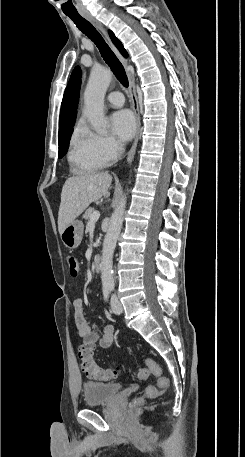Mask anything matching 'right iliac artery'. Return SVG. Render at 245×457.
<instances>
[{
  "label": "right iliac artery",
  "instance_id": "1",
  "mask_svg": "<svg viewBox=\"0 0 245 457\" xmlns=\"http://www.w3.org/2000/svg\"><path fill=\"white\" fill-rule=\"evenodd\" d=\"M110 291H111L110 288H104V290H103V295H104V299H105V300H107V299L109 298Z\"/></svg>",
  "mask_w": 245,
  "mask_h": 457
}]
</instances>
